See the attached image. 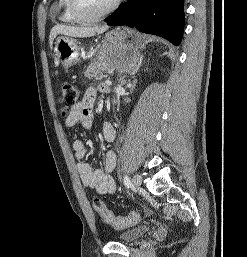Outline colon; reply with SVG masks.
Wrapping results in <instances>:
<instances>
[{
  "label": "colon",
  "mask_w": 247,
  "mask_h": 257,
  "mask_svg": "<svg viewBox=\"0 0 247 257\" xmlns=\"http://www.w3.org/2000/svg\"><path fill=\"white\" fill-rule=\"evenodd\" d=\"M81 96L80 89L68 82L60 85V103L67 109L73 107ZM95 212L103 221L116 229H123L136 225L140 220V214L137 211L130 212L127 216H117L107 208L103 200L95 198L93 200Z\"/></svg>",
  "instance_id": "1"
}]
</instances>
